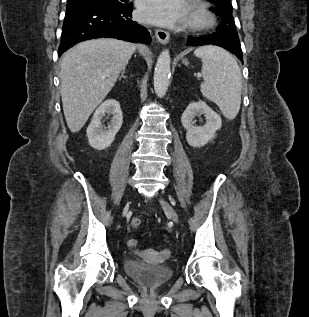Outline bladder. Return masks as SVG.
I'll return each instance as SVG.
<instances>
[{
	"mask_svg": "<svg viewBox=\"0 0 309 317\" xmlns=\"http://www.w3.org/2000/svg\"><path fill=\"white\" fill-rule=\"evenodd\" d=\"M124 266L126 273L147 289L157 288L173 276V270L168 266L151 264L136 258H128Z\"/></svg>",
	"mask_w": 309,
	"mask_h": 317,
	"instance_id": "1",
	"label": "bladder"
}]
</instances>
